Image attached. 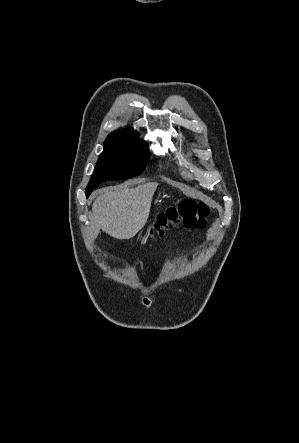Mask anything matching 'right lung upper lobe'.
Listing matches in <instances>:
<instances>
[{"label": "right lung upper lobe", "instance_id": "obj_1", "mask_svg": "<svg viewBox=\"0 0 299 443\" xmlns=\"http://www.w3.org/2000/svg\"><path fill=\"white\" fill-rule=\"evenodd\" d=\"M134 135H138V134L134 133V131H132L130 129H126V130H120V131L114 132V133L110 134L108 136V138L134 136Z\"/></svg>", "mask_w": 299, "mask_h": 443}]
</instances>
